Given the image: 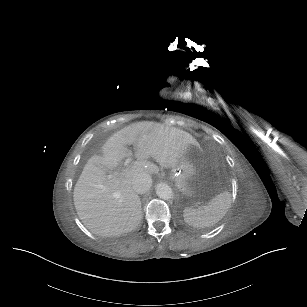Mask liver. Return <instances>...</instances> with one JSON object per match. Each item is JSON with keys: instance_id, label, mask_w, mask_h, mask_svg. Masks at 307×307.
<instances>
[{"instance_id": "liver-1", "label": "liver", "mask_w": 307, "mask_h": 307, "mask_svg": "<svg viewBox=\"0 0 307 307\" xmlns=\"http://www.w3.org/2000/svg\"><path fill=\"white\" fill-rule=\"evenodd\" d=\"M188 144L197 145L193 136L177 127L153 121L132 123L114 133L102 146L103 156L94 155L77 180L73 200L82 223L94 234L115 236L135 229L142 219L141 201L132 189V178L139 173H158L161 167L174 168ZM135 148L137 160L124 172L106 175Z\"/></svg>"}]
</instances>
